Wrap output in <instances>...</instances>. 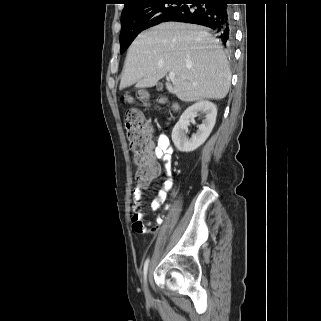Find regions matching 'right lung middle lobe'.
<instances>
[{
	"mask_svg": "<svg viewBox=\"0 0 321 321\" xmlns=\"http://www.w3.org/2000/svg\"><path fill=\"white\" fill-rule=\"evenodd\" d=\"M183 1L155 0L121 18L120 53L125 52L140 32L163 22L165 17L179 9Z\"/></svg>",
	"mask_w": 321,
	"mask_h": 321,
	"instance_id": "1",
	"label": "right lung middle lobe"
}]
</instances>
